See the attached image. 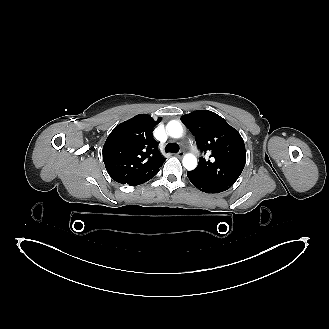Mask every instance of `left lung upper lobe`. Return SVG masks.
Masks as SVG:
<instances>
[{
	"label": "left lung upper lobe",
	"mask_w": 329,
	"mask_h": 329,
	"mask_svg": "<svg viewBox=\"0 0 329 329\" xmlns=\"http://www.w3.org/2000/svg\"><path fill=\"white\" fill-rule=\"evenodd\" d=\"M195 135L198 148L209 159L199 158L192 170L199 179L228 190L238 179L246 162L244 141L239 132L212 111H193L181 117Z\"/></svg>",
	"instance_id": "5c2ea615"
}]
</instances>
